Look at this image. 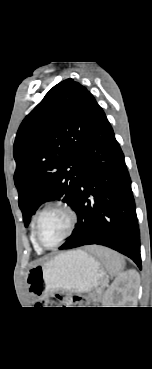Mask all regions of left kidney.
I'll use <instances>...</instances> for the list:
<instances>
[{
    "instance_id": "left-kidney-1",
    "label": "left kidney",
    "mask_w": 152,
    "mask_h": 369,
    "mask_svg": "<svg viewBox=\"0 0 152 369\" xmlns=\"http://www.w3.org/2000/svg\"><path fill=\"white\" fill-rule=\"evenodd\" d=\"M139 275L135 270L123 274L103 296V307H121L128 300V293L138 285ZM126 287V288H124Z\"/></svg>"
}]
</instances>
